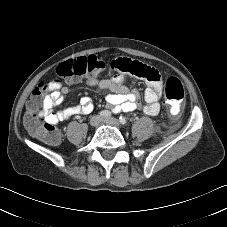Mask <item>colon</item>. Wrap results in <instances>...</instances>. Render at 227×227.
Instances as JSON below:
<instances>
[{"mask_svg": "<svg viewBox=\"0 0 227 227\" xmlns=\"http://www.w3.org/2000/svg\"><path fill=\"white\" fill-rule=\"evenodd\" d=\"M105 68V62L96 55H88L65 61L58 68V74L62 78L77 80L87 74L95 75ZM126 69L137 76L155 80L156 71L149 65L137 60H132ZM61 86L60 78H52L42 82L34 89L27 102L25 125L29 132L48 145H57L60 141V134L56 127L51 124L42 123L37 115V109L42 104L45 93L48 90H55ZM184 87L180 79L170 75L165 83V103L175 112L180 111L184 100Z\"/></svg>", "mask_w": 227, "mask_h": 227, "instance_id": "5ec220e1", "label": "colon"}]
</instances>
